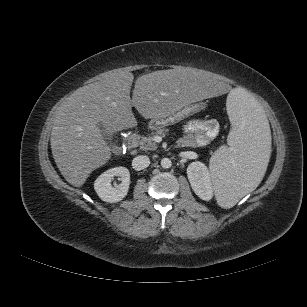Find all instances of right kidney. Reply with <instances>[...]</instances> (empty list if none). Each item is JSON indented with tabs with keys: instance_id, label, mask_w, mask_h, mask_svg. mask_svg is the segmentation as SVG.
I'll return each instance as SVG.
<instances>
[{
	"instance_id": "1",
	"label": "right kidney",
	"mask_w": 307,
	"mask_h": 307,
	"mask_svg": "<svg viewBox=\"0 0 307 307\" xmlns=\"http://www.w3.org/2000/svg\"><path fill=\"white\" fill-rule=\"evenodd\" d=\"M118 176L121 183L113 187L112 179ZM130 185V172L126 167L111 168L102 173L94 182V189L102 201L116 203L121 201L128 193Z\"/></svg>"
}]
</instances>
